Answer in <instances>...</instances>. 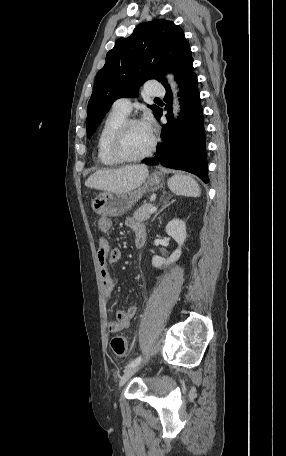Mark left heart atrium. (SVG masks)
<instances>
[{
	"mask_svg": "<svg viewBox=\"0 0 286 456\" xmlns=\"http://www.w3.org/2000/svg\"><path fill=\"white\" fill-rule=\"evenodd\" d=\"M149 129H152L151 126H152V123L149 122L147 125H146Z\"/></svg>",
	"mask_w": 286,
	"mask_h": 456,
	"instance_id": "1",
	"label": "left heart atrium"
}]
</instances>
